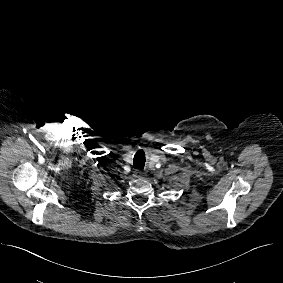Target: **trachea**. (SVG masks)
Segmentation results:
<instances>
[{"instance_id":"trachea-1","label":"trachea","mask_w":283,"mask_h":283,"mask_svg":"<svg viewBox=\"0 0 283 283\" xmlns=\"http://www.w3.org/2000/svg\"><path fill=\"white\" fill-rule=\"evenodd\" d=\"M145 165V154L143 151H138L133 159V166L136 169H144Z\"/></svg>"}]
</instances>
